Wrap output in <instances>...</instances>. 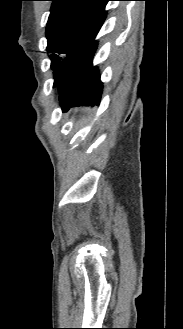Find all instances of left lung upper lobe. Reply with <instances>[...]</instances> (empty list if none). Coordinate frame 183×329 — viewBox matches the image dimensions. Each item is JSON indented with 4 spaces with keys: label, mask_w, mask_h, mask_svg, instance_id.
I'll return each mask as SVG.
<instances>
[{
    "label": "left lung upper lobe",
    "mask_w": 183,
    "mask_h": 329,
    "mask_svg": "<svg viewBox=\"0 0 183 329\" xmlns=\"http://www.w3.org/2000/svg\"><path fill=\"white\" fill-rule=\"evenodd\" d=\"M51 13L46 27L47 51L54 76L87 35L107 16L111 0H50ZM64 54V56H60Z\"/></svg>",
    "instance_id": "1"
}]
</instances>
